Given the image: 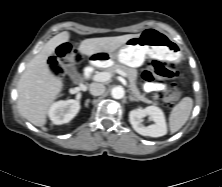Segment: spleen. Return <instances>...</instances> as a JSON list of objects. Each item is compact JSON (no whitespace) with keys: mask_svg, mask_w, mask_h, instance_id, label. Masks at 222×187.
Wrapping results in <instances>:
<instances>
[{"mask_svg":"<svg viewBox=\"0 0 222 187\" xmlns=\"http://www.w3.org/2000/svg\"><path fill=\"white\" fill-rule=\"evenodd\" d=\"M193 107V100L184 97L176 106L173 107L169 115V128L171 133L177 132L187 122Z\"/></svg>","mask_w":222,"mask_h":187,"instance_id":"obj_1","label":"spleen"}]
</instances>
